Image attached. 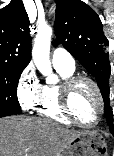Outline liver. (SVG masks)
Instances as JSON below:
<instances>
[{"label": "liver", "mask_w": 114, "mask_h": 156, "mask_svg": "<svg viewBox=\"0 0 114 156\" xmlns=\"http://www.w3.org/2000/svg\"><path fill=\"white\" fill-rule=\"evenodd\" d=\"M80 133L49 119L0 118V156H60Z\"/></svg>", "instance_id": "liver-1"}]
</instances>
